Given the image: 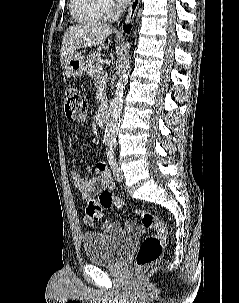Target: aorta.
I'll list each match as a JSON object with an SVG mask.
<instances>
[{"instance_id": "762f6f07", "label": "aorta", "mask_w": 239, "mask_h": 303, "mask_svg": "<svg viewBox=\"0 0 239 303\" xmlns=\"http://www.w3.org/2000/svg\"><path fill=\"white\" fill-rule=\"evenodd\" d=\"M130 60L126 59L120 78L116 85L114 97L110 103L105 122L104 140L114 143L120 125V116L123 108V94L128 81Z\"/></svg>"}]
</instances>
